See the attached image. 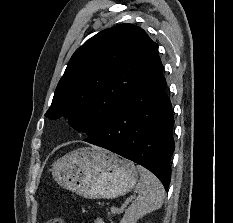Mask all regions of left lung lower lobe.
Instances as JSON below:
<instances>
[{
	"instance_id": "left-lung-lower-lobe-1",
	"label": "left lung lower lobe",
	"mask_w": 233,
	"mask_h": 223,
	"mask_svg": "<svg viewBox=\"0 0 233 223\" xmlns=\"http://www.w3.org/2000/svg\"><path fill=\"white\" fill-rule=\"evenodd\" d=\"M162 70L157 55L136 90L88 142L147 168L167 191L171 178L170 159L175 149L174 118Z\"/></svg>"
}]
</instances>
